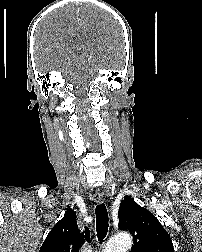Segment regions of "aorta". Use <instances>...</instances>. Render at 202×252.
<instances>
[{"instance_id":"762f6f07","label":"aorta","mask_w":202,"mask_h":252,"mask_svg":"<svg viewBox=\"0 0 202 252\" xmlns=\"http://www.w3.org/2000/svg\"><path fill=\"white\" fill-rule=\"evenodd\" d=\"M131 247V236L127 233H121L110 239L102 252H127Z\"/></svg>"}]
</instances>
